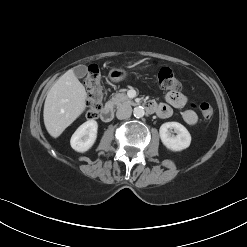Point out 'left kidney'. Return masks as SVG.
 <instances>
[{
	"label": "left kidney",
	"mask_w": 247,
	"mask_h": 247,
	"mask_svg": "<svg viewBox=\"0 0 247 247\" xmlns=\"http://www.w3.org/2000/svg\"><path fill=\"white\" fill-rule=\"evenodd\" d=\"M169 129H174L177 135H171ZM159 134L162 143L169 150L182 151L190 146L191 135L188 130L178 122H166L162 124Z\"/></svg>",
	"instance_id": "obj_1"
}]
</instances>
